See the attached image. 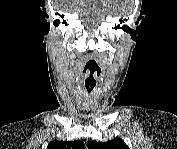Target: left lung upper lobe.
Masks as SVG:
<instances>
[{"instance_id": "left-lung-upper-lobe-1", "label": "left lung upper lobe", "mask_w": 177, "mask_h": 149, "mask_svg": "<svg viewBox=\"0 0 177 149\" xmlns=\"http://www.w3.org/2000/svg\"><path fill=\"white\" fill-rule=\"evenodd\" d=\"M89 149H129L128 146L119 138L107 142L91 141L88 143Z\"/></svg>"}]
</instances>
